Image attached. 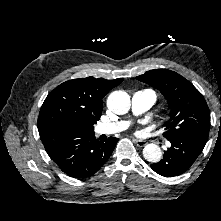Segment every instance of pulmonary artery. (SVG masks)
<instances>
[{
	"mask_svg": "<svg viewBox=\"0 0 221 221\" xmlns=\"http://www.w3.org/2000/svg\"><path fill=\"white\" fill-rule=\"evenodd\" d=\"M156 101V95L151 89H143L135 92L131 98V108L134 114H141L150 109ZM127 121L99 124L96 127L97 134H114L125 130Z\"/></svg>",
	"mask_w": 221,
	"mask_h": 221,
	"instance_id": "pulmonary-artery-1",
	"label": "pulmonary artery"
}]
</instances>
